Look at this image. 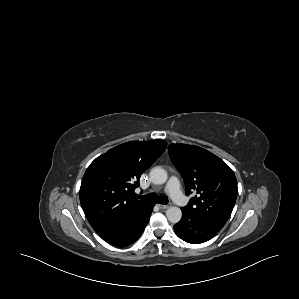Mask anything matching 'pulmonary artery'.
Returning a JSON list of instances; mask_svg holds the SVG:
<instances>
[{
    "label": "pulmonary artery",
    "instance_id": "pulmonary-artery-1",
    "mask_svg": "<svg viewBox=\"0 0 299 299\" xmlns=\"http://www.w3.org/2000/svg\"><path fill=\"white\" fill-rule=\"evenodd\" d=\"M165 189L177 204L183 206L186 203V199L181 191L180 182L177 177L172 176L167 182Z\"/></svg>",
    "mask_w": 299,
    "mask_h": 299
}]
</instances>
